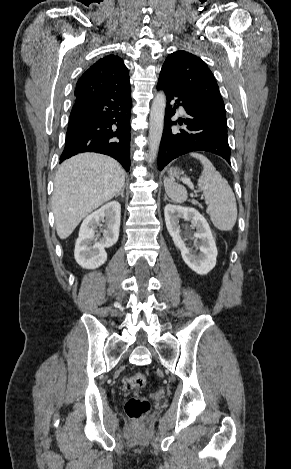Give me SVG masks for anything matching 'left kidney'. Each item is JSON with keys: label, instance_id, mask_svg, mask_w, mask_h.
Segmentation results:
<instances>
[{"label": "left kidney", "instance_id": "1", "mask_svg": "<svg viewBox=\"0 0 291 469\" xmlns=\"http://www.w3.org/2000/svg\"><path fill=\"white\" fill-rule=\"evenodd\" d=\"M164 216L167 230L174 244L181 251L184 262L199 275H206L216 265L217 247L207 220L194 208L167 204L164 208ZM191 221V227L196 229L194 237L199 241L193 246L200 254H196L193 248L186 246L180 233L179 220Z\"/></svg>", "mask_w": 291, "mask_h": 469}]
</instances>
